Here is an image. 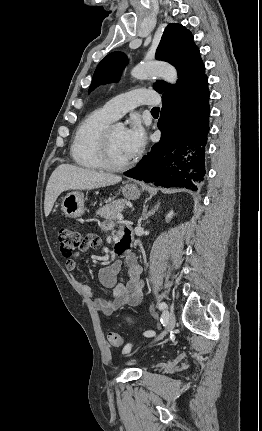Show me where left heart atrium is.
I'll list each match as a JSON object with an SVG mask.
<instances>
[{"label": "left heart atrium", "instance_id": "left-heart-atrium-1", "mask_svg": "<svg viewBox=\"0 0 262 431\" xmlns=\"http://www.w3.org/2000/svg\"><path fill=\"white\" fill-rule=\"evenodd\" d=\"M146 143V133L141 124L134 120L130 126L124 130L123 145L130 158L140 154Z\"/></svg>", "mask_w": 262, "mask_h": 431}]
</instances>
